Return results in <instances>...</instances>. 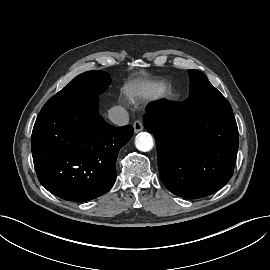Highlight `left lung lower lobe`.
I'll list each match as a JSON object with an SVG mask.
<instances>
[{"instance_id": "1", "label": "left lung lower lobe", "mask_w": 270, "mask_h": 270, "mask_svg": "<svg viewBox=\"0 0 270 270\" xmlns=\"http://www.w3.org/2000/svg\"><path fill=\"white\" fill-rule=\"evenodd\" d=\"M145 128L157 146L159 176L166 188L184 198H202L232 177L239 134L233 112L204 114L194 95L150 111Z\"/></svg>"}]
</instances>
